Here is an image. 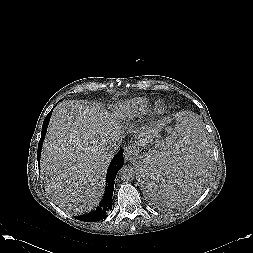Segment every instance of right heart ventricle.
<instances>
[{"mask_svg": "<svg viewBox=\"0 0 253 253\" xmlns=\"http://www.w3.org/2000/svg\"><path fill=\"white\" fill-rule=\"evenodd\" d=\"M150 101L146 97H139L124 102L121 106V117L126 120L141 118L148 110Z\"/></svg>", "mask_w": 253, "mask_h": 253, "instance_id": "1", "label": "right heart ventricle"}]
</instances>
